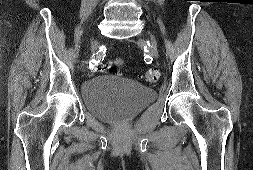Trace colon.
<instances>
[{"label":"colon","instance_id":"1","mask_svg":"<svg viewBox=\"0 0 253 170\" xmlns=\"http://www.w3.org/2000/svg\"><path fill=\"white\" fill-rule=\"evenodd\" d=\"M102 69L111 70L112 68L109 66H104ZM144 79L147 82H151V83L156 82L159 79V72L154 69H149L145 72Z\"/></svg>","mask_w":253,"mask_h":170}]
</instances>
